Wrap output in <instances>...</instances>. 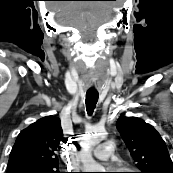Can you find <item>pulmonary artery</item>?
I'll list each match as a JSON object with an SVG mask.
<instances>
[{"mask_svg":"<svg viewBox=\"0 0 173 173\" xmlns=\"http://www.w3.org/2000/svg\"><path fill=\"white\" fill-rule=\"evenodd\" d=\"M113 153L112 142H103L93 151V156L99 161H107L111 158Z\"/></svg>","mask_w":173,"mask_h":173,"instance_id":"obj_1","label":"pulmonary artery"}]
</instances>
